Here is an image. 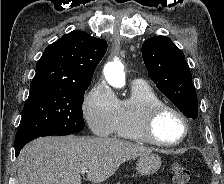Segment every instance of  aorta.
I'll use <instances>...</instances> for the list:
<instances>
[{"label":"aorta","mask_w":224,"mask_h":184,"mask_svg":"<svg viewBox=\"0 0 224 184\" xmlns=\"http://www.w3.org/2000/svg\"><path fill=\"white\" fill-rule=\"evenodd\" d=\"M104 76L106 81L115 88L125 85V73L123 65L119 61L107 63L104 67Z\"/></svg>","instance_id":"obj_1"}]
</instances>
